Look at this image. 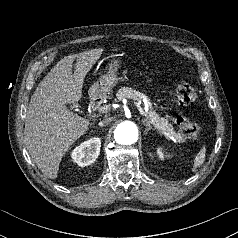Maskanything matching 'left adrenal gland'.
<instances>
[{
    "instance_id": "1",
    "label": "left adrenal gland",
    "mask_w": 238,
    "mask_h": 238,
    "mask_svg": "<svg viewBox=\"0 0 238 238\" xmlns=\"http://www.w3.org/2000/svg\"><path fill=\"white\" fill-rule=\"evenodd\" d=\"M142 123L144 124V126L146 127L145 132L148 133V131L150 130H154V128H152V126L150 125L149 121L147 119H142Z\"/></svg>"
}]
</instances>
